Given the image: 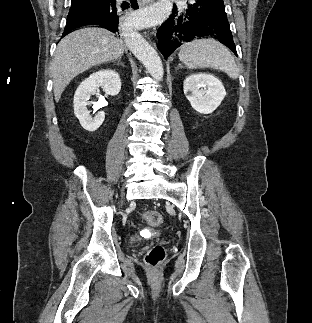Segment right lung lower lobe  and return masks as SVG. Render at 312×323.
Returning a JSON list of instances; mask_svg holds the SVG:
<instances>
[{
	"label": "right lung lower lobe",
	"mask_w": 312,
	"mask_h": 323,
	"mask_svg": "<svg viewBox=\"0 0 312 323\" xmlns=\"http://www.w3.org/2000/svg\"><path fill=\"white\" fill-rule=\"evenodd\" d=\"M130 3L134 9L138 8L136 0H130ZM121 7L123 10L116 4V0H91L71 7L62 37L73 29L86 25H97L118 33L120 29L127 26V15L124 9L128 8L129 4L123 3Z\"/></svg>",
	"instance_id": "98d812e1"
}]
</instances>
